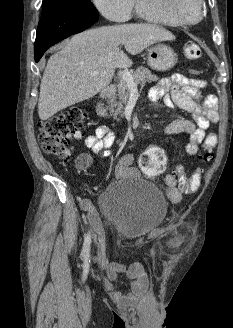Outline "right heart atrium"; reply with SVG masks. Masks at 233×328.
Here are the masks:
<instances>
[{
	"label": "right heart atrium",
	"instance_id": "d8ad5b80",
	"mask_svg": "<svg viewBox=\"0 0 233 328\" xmlns=\"http://www.w3.org/2000/svg\"><path fill=\"white\" fill-rule=\"evenodd\" d=\"M97 11L113 22H125L131 18L135 0H91Z\"/></svg>",
	"mask_w": 233,
	"mask_h": 328
}]
</instances>
